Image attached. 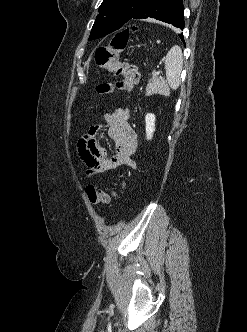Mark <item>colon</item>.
<instances>
[{
  "mask_svg": "<svg viewBox=\"0 0 247 332\" xmlns=\"http://www.w3.org/2000/svg\"><path fill=\"white\" fill-rule=\"evenodd\" d=\"M136 31L133 26L118 32L113 36L109 45L99 47L95 52V62L103 69H106L119 79L114 83H100L96 87V91L100 94H110L113 92L130 91L139 80V72L135 65L119 59L120 53L125 49L129 37L132 32ZM125 183L120 180L117 188H123ZM117 189L103 190L93 185L86 187V194L89 201L93 204L109 203L117 196Z\"/></svg>",
  "mask_w": 247,
  "mask_h": 332,
  "instance_id": "5ec220e1",
  "label": "colon"
}]
</instances>
